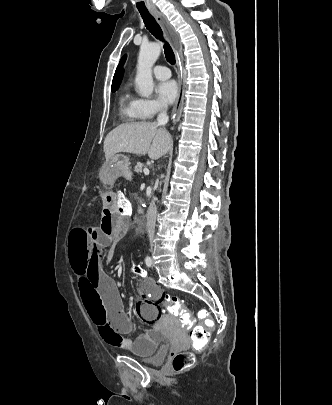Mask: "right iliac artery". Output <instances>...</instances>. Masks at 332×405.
<instances>
[{"label": "right iliac artery", "mask_w": 332, "mask_h": 405, "mask_svg": "<svg viewBox=\"0 0 332 405\" xmlns=\"http://www.w3.org/2000/svg\"><path fill=\"white\" fill-rule=\"evenodd\" d=\"M145 263H146V265H147L148 267H151V265H152V259H151L149 256H147V257L145 258Z\"/></svg>", "instance_id": "obj_1"}]
</instances>
